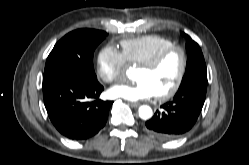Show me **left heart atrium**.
Masks as SVG:
<instances>
[{
    "instance_id": "39dd6f15",
    "label": "left heart atrium",
    "mask_w": 249,
    "mask_h": 165,
    "mask_svg": "<svg viewBox=\"0 0 249 165\" xmlns=\"http://www.w3.org/2000/svg\"><path fill=\"white\" fill-rule=\"evenodd\" d=\"M108 94L113 98H122L128 101H139L155 96L152 87L144 80L134 83H118L111 87Z\"/></svg>"
}]
</instances>
